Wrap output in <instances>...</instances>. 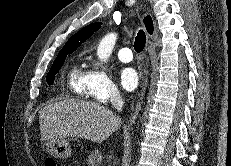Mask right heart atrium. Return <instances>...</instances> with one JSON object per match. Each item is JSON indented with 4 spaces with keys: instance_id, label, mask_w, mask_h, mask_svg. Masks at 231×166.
<instances>
[{
    "instance_id": "right-heart-atrium-1",
    "label": "right heart atrium",
    "mask_w": 231,
    "mask_h": 166,
    "mask_svg": "<svg viewBox=\"0 0 231 166\" xmlns=\"http://www.w3.org/2000/svg\"><path fill=\"white\" fill-rule=\"evenodd\" d=\"M86 93L99 102L120 98V92L108 72L96 62H93L86 72Z\"/></svg>"
}]
</instances>
